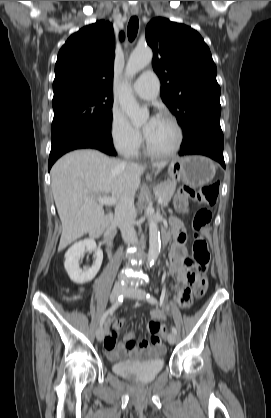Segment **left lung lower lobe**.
Instances as JSON below:
<instances>
[{"instance_id":"left-lung-lower-lobe-1","label":"left lung lower lobe","mask_w":271,"mask_h":418,"mask_svg":"<svg viewBox=\"0 0 271 418\" xmlns=\"http://www.w3.org/2000/svg\"><path fill=\"white\" fill-rule=\"evenodd\" d=\"M224 138L220 122H201L191 126L186 133L182 143L180 156L201 154L218 161L223 167Z\"/></svg>"}]
</instances>
